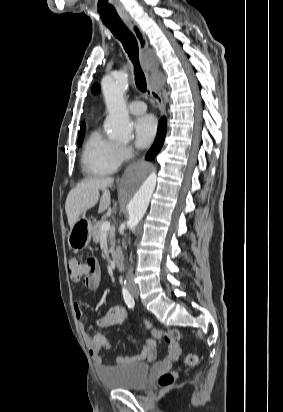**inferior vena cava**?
Returning a JSON list of instances; mask_svg holds the SVG:
<instances>
[{"instance_id":"602c4592","label":"inferior vena cava","mask_w":283,"mask_h":412,"mask_svg":"<svg viewBox=\"0 0 283 412\" xmlns=\"http://www.w3.org/2000/svg\"><path fill=\"white\" fill-rule=\"evenodd\" d=\"M126 279H127V285H128V287H134V286H135L134 277H133V273H132L131 270H128Z\"/></svg>"}]
</instances>
